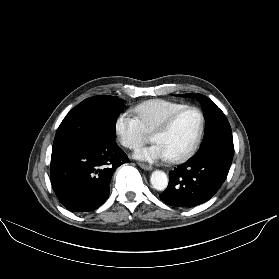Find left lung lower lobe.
<instances>
[{
	"label": "left lung lower lobe",
	"instance_id": "left-lung-lower-lobe-1",
	"mask_svg": "<svg viewBox=\"0 0 279 279\" xmlns=\"http://www.w3.org/2000/svg\"><path fill=\"white\" fill-rule=\"evenodd\" d=\"M232 158L216 148L194 155L170 172L161 200L176 207H194L208 201L225 181Z\"/></svg>",
	"mask_w": 279,
	"mask_h": 279
}]
</instances>
